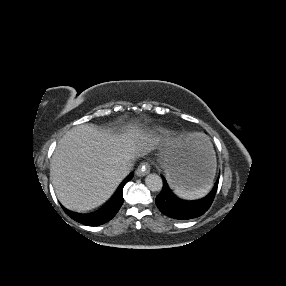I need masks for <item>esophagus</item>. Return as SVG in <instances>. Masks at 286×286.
<instances>
[{
	"instance_id": "esophagus-1",
	"label": "esophagus",
	"mask_w": 286,
	"mask_h": 286,
	"mask_svg": "<svg viewBox=\"0 0 286 286\" xmlns=\"http://www.w3.org/2000/svg\"><path fill=\"white\" fill-rule=\"evenodd\" d=\"M150 164L148 162L142 163L136 170L137 176H144L150 173Z\"/></svg>"
}]
</instances>
